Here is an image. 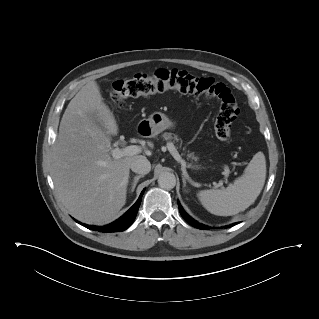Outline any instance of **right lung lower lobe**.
Masks as SVG:
<instances>
[{
	"label": "right lung lower lobe",
	"instance_id": "98d812e1",
	"mask_svg": "<svg viewBox=\"0 0 319 319\" xmlns=\"http://www.w3.org/2000/svg\"><path fill=\"white\" fill-rule=\"evenodd\" d=\"M143 193H144V190L142 191V193H141L140 197L138 198V200L136 201V203L122 217H120L118 220H116L115 222H113L109 225L97 227V226H89V225L80 223L78 221H76V222H78L79 224L83 225L84 227H86L88 229L97 230L99 232H104V233L124 231L134 221V219L137 215L140 203H141V198H142Z\"/></svg>",
	"mask_w": 319,
	"mask_h": 319
}]
</instances>
